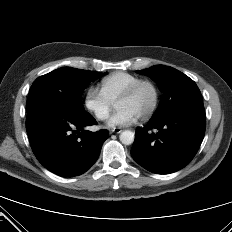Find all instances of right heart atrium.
Returning a JSON list of instances; mask_svg holds the SVG:
<instances>
[{"instance_id": "d8ad5b80", "label": "right heart atrium", "mask_w": 232, "mask_h": 232, "mask_svg": "<svg viewBox=\"0 0 232 232\" xmlns=\"http://www.w3.org/2000/svg\"><path fill=\"white\" fill-rule=\"evenodd\" d=\"M83 105L99 121L107 119L113 107V104L94 87L86 90L83 97Z\"/></svg>"}]
</instances>
